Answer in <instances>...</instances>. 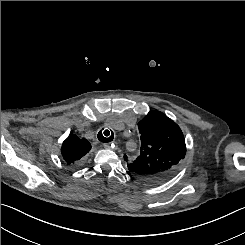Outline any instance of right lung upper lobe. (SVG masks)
<instances>
[{
  "label": "right lung upper lobe",
  "instance_id": "right-lung-upper-lobe-1",
  "mask_svg": "<svg viewBox=\"0 0 245 245\" xmlns=\"http://www.w3.org/2000/svg\"><path fill=\"white\" fill-rule=\"evenodd\" d=\"M90 149L91 144L86 139L71 134L62 144L61 155L67 164H78Z\"/></svg>",
  "mask_w": 245,
  "mask_h": 245
}]
</instances>
